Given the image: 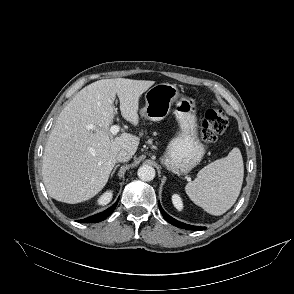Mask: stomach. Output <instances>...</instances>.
<instances>
[{"label":"stomach","mask_w":294,"mask_h":294,"mask_svg":"<svg viewBox=\"0 0 294 294\" xmlns=\"http://www.w3.org/2000/svg\"><path fill=\"white\" fill-rule=\"evenodd\" d=\"M178 88L169 83L156 84L145 94V107L140 114L145 119L160 121L170 112L176 101L175 117L180 131L168 144L161 163L175 174H185L197 166L205 153L197 135L196 104L192 98L178 100Z\"/></svg>","instance_id":"stomach-1"}]
</instances>
